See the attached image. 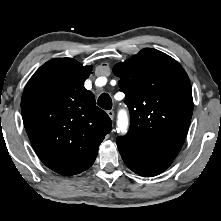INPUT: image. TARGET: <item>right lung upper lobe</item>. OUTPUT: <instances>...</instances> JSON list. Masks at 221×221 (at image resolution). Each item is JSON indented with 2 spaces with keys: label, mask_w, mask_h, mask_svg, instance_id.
<instances>
[{
  "label": "right lung upper lobe",
  "mask_w": 221,
  "mask_h": 221,
  "mask_svg": "<svg viewBox=\"0 0 221 221\" xmlns=\"http://www.w3.org/2000/svg\"><path fill=\"white\" fill-rule=\"evenodd\" d=\"M92 66L72 58L43 64L28 81L21 99L25 129L41 161L65 176L81 173L96 159L111 131L110 117L84 88Z\"/></svg>",
  "instance_id": "obj_1"
}]
</instances>
